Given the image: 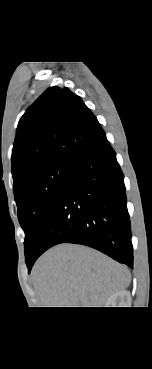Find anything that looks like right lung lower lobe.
Segmentation results:
<instances>
[{"label":"right lung lower lobe","instance_id":"1","mask_svg":"<svg viewBox=\"0 0 152 369\" xmlns=\"http://www.w3.org/2000/svg\"><path fill=\"white\" fill-rule=\"evenodd\" d=\"M64 242L93 247L133 266L124 176L105 134L72 161L40 238L26 261L28 269L48 248Z\"/></svg>","mask_w":152,"mask_h":369}]
</instances>
